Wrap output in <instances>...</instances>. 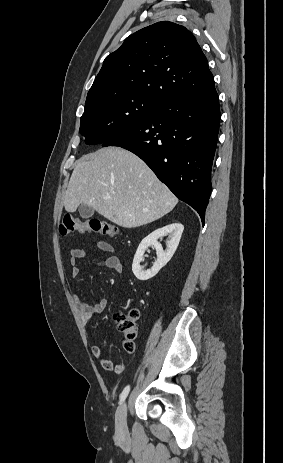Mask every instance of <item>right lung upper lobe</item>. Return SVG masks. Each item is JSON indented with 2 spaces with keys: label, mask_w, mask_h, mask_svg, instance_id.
<instances>
[{
  "label": "right lung upper lobe",
  "mask_w": 283,
  "mask_h": 463,
  "mask_svg": "<svg viewBox=\"0 0 283 463\" xmlns=\"http://www.w3.org/2000/svg\"><path fill=\"white\" fill-rule=\"evenodd\" d=\"M213 85L207 59L193 34L184 26L162 21L133 33L105 58L86 102L132 93L160 103Z\"/></svg>",
  "instance_id": "1"
}]
</instances>
